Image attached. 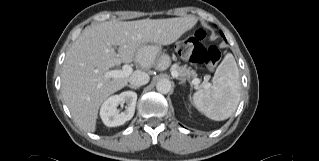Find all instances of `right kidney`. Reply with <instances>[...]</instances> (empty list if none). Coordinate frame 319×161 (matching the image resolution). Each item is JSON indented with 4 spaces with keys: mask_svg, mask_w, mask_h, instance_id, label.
<instances>
[{
    "mask_svg": "<svg viewBox=\"0 0 319 161\" xmlns=\"http://www.w3.org/2000/svg\"><path fill=\"white\" fill-rule=\"evenodd\" d=\"M137 94L133 91H125L119 95L109 97L101 106L100 116L108 127H115L129 121L135 112ZM126 104V109L119 112L118 105Z\"/></svg>",
    "mask_w": 319,
    "mask_h": 161,
    "instance_id": "obj_1",
    "label": "right kidney"
}]
</instances>
